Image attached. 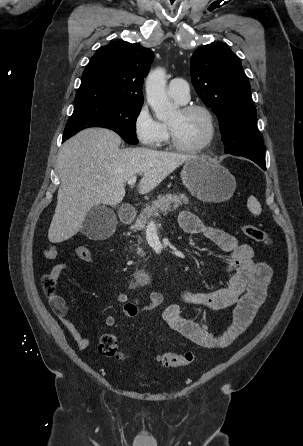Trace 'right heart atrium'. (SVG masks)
Returning <instances> with one entry per match:
<instances>
[{"mask_svg": "<svg viewBox=\"0 0 303 446\" xmlns=\"http://www.w3.org/2000/svg\"><path fill=\"white\" fill-rule=\"evenodd\" d=\"M134 134L138 141L146 147H157L167 137V131L162 123L152 115L147 103H143L133 119Z\"/></svg>", "mask_w": 303, "mask_h": 446, "instance_id": "right-heart-atrium-1", "label": "right heart atrium"}]
</instances>
